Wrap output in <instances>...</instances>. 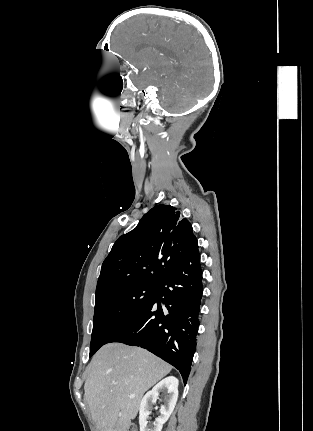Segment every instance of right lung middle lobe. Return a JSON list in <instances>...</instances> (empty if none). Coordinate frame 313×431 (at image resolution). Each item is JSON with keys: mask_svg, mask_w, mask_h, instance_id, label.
Returning a JSON list of instances; mask_svg holds the SVG:
<instances>
[{"mask_svg": "<svg viewBox=\"0 0 313 431\" xmlns=\"http://www.w3.org/2000/svg\"><path fill=\"white\" fill-rule=\"evenodd\" d=\"M157 285H138L118 290L95 301L90 357L123 328L151 298Z\"/></svg>", "mask_w": 313, "mask_h": 431, "instance_id": "1", "label": "right lung middle lobe"}]
</instances>
